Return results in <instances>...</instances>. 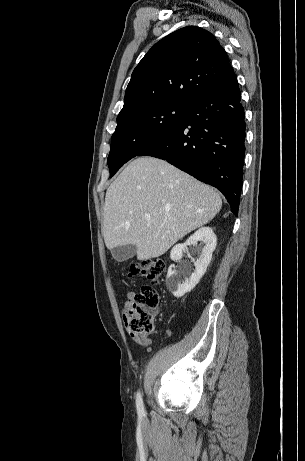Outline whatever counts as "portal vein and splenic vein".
Returning <instances> with one entry per match:
<instances>
[{"label": "portal vein and splenic vein", "instance_id": "obj_1", "mask_svg": "<svg viewBox=\"0 0 305 461\" xmlns=\"http://www.w3.org/2000/svg\"><path fill=\"white\" fill-rule=\"evenodd\" d=\"M144 217H145V219H146L147 221H150V220H151V215H150V214H145Z\"/></svg>", "mask_w": 305, "mask_h": 461}]
</instances>
